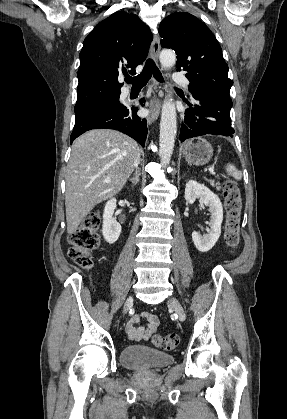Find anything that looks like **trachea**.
I'll return each instance as SVG.
<instances>
[{
  "instance_id": "obj_1",
  "label": "trachea",
  "mask_w": 287,
  "mask_h": 419,
  "mask_svg": "<svg viewBox=\"0 0 287 419\" xmlns=\"http://www.w3.org/2000/svg\"><path fill=\"white\" fill-rule=\"evenodd\" d=\"M152 74L159 82L163 81L162 75L156 67L154 61L152 59H148L142 72L135 77H126L125 82L132 84L133 88H142L147 84Z\"/></svg>"
}]
</instances>
